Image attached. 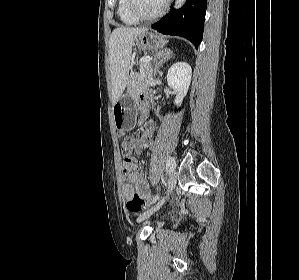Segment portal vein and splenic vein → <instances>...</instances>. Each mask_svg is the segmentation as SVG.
I'll list each match as a JSON object with an SVG mask.
<instances>
[{
  "label": "portal vein and splenic vein",
  "instance_id": "obj_1",
  "mask_svg": "<svg viewBox=\"0 0 299 280\" xmlns=\"http://www.w3.org/2000/svg\"><path fill=\"white\" fill-rule=\"evenodd\" d=\"M152 61V58L151 57H145L141 60L140 64H143V63H146V62H150Z\"/></svg>",
  "mask_w": 299,
  "mask_h": 280
}]
</instances>
